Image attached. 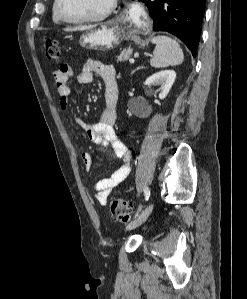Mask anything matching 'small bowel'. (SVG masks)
<instances>
[{"instance_id": "small-bowel-1", "label": "small bowel", "mask_w": 247, "mask_h": 299, "mask_svg": "<svg viewBox=\"0 0 247 299\" xmlns=\"http://www.w3.org/2000/svg\"><path fill=\"white\" fill-rule=\"evenodd\" d=\"M73 75L72 68L66 64H62L53 75L55 87L60 96V106L63 110L68 107L70 95L69 79ZM96 75L101 77L105 84V107L102 110L100 121L98 123H90L80 117H75L73 122L77 127L83 129L88 137L97 145L105 148L111 146L116 155L123 160L122 164L109 177L99 179L93 184V191L98 203L105 205L113 189L128 176L131 156L113 130L119 98L114 68L102 62L90 60L84 65L76 78L80 84H90ZM81 159L84 169L90 171L93 166L91 155L84 151L81 154Z\"/></svg>"}]
</instances>
